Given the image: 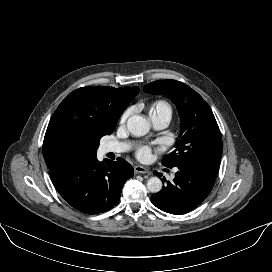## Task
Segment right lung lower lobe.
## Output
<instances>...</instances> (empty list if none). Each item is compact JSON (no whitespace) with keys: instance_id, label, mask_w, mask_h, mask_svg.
Instances as JSON below:
<instances>
[{"instance_id":"98d812e1","label":"right lung lower lobe","mask_w":272,"mask_h":272,"mask_svg":"<svg viewBox=\"0 0 272 272\" xmlns=\"http://www.w3.org/2000/svg\"><path fill=\"white\" fill-rule=\"evenodd\" d=\"M50 176L69 205L84 214H99L119 202L125 181L133 176V168L122 158L103 163L96 154H91L51 168Z\"/></svg>"}]
</instances>
